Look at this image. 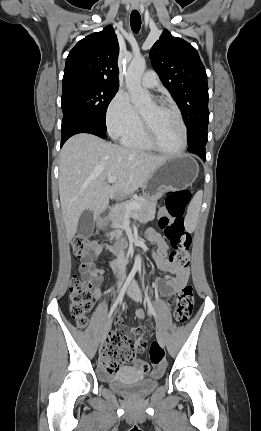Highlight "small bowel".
<instances>
[{
    "label": "small bowel",
    "instance_id": "c3829d8e",
    "mask_svg": "<svg viewBox=\"0 0 261 431\" xmlns=\"http://www.w3.org/2000/svg\"><path fill=\"white\" fill-rule=\"evenodd\" d=\"M146 239L150 242L156 244L160 247L162 253H154L153 259L158 267V269L161 272L170 273L173 276L168 277L165 280H162L160 278H157L155 280V286L158 289V293L162 296H172L174 293L178 292L188 281L190 270L188 267H181L174 263H172L168 259V244L164 240V238L156 231L149 230L147 231L145 235ZM106 250L105 245L100 244L98 245L94 252V256L101 255ZM105 271L100 268H95L91 264L88 265V267L85 270V274L88 275L89 280L91 281L93 285V295L95 298L102 297V291H101V281L102 276L104 275ZM117 317H122V312H117ZM137 317L140 320H144L145 315L142 312H139L137 314ZM125 332L128 335H133L136 337V341L133 346V358L129 363H133L135 360V354L143 352L147 346V338H148V330L145 327H136V328H130L125 330ZM103 354V350H102ZM103 357V356H102ZM140 363L142 361L138 360ZM146 374V373H141Z\"/></svg>",
    "mask_w": 261,
    "mask_h": 431
}]
</instances>
